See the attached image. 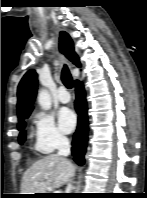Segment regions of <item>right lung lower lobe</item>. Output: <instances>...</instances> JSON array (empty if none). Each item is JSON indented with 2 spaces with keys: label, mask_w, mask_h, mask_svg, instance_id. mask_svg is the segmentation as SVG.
Masks as SVG:
<instances>
[{
  "label": "right lung lower lobe",
  "mask_w": 147,
  "mask_h": 198,
  "mask_svg": "<svg viewBox=\"0 0 147 198\" xmlns=\"http://www.w3.org/2000/svg\"><path fill=\"white\" fill-rule=\"evenodd\" d=\"M76 101L75 108L79 115L77 130L72 142V155L74 161L82 166L85 162L84 154L87 147V131H88V119H87V104L85 99V91L82 82L76 80Z\"/></svg>",
  "instance_id": "right-lung-lower-lobe-1"
}]
</instances>
